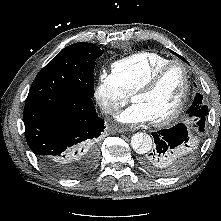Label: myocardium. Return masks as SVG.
Listing matches in <instances>:
<instances>
[{
  "instance_id": "1",
  "label": "myocardium",
  "mask_w": 221,
  "mask_h": 221,
  "mask_svg": "<svg viewBox=\"0 0 221 221\" xmlns=\"http://www.w3.org/2000/svg\"><path fill=\"white\" fill-rule=\"evenodd\" d=\"M174 65H179L183 70L185 78L184 92L174 110H172L169 114L160 119L152 120L153 124L156 126H164L173 122L183 112L185 106L187 105V102L191 94V76L188 66L182 60L179 59L169 60L167 63L155 70L154 73L144 83H142L132 94L133 100L134 97L139 94L152 91L158 85L165 73Z\"/></svg>"
}]
</instances>
